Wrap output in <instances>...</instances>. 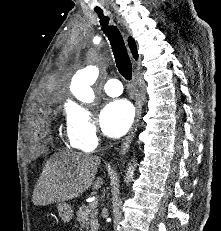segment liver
I'll return each instance as SVG.
<instances>
[{"instance_id": "6515ba94", "label": "liver", "mask_w": 221, "mask_h": 231, "mask_svg": "<svg viewBox=\"0 0 221 231\" xmlns=\"http://www.w3.org/2000/svg\"><path fill=\"white\" fill-rule=\"evenodd\" d=\"M101 160L99 156L70 151L52 155L45 163L35 186L32 201L46 206L79 197L93 185L97 190L103 184L95 177Z\"/></svg>"}]
</instances>
